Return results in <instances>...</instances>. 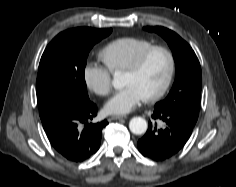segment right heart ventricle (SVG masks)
<instances>
[{
	"label": "right heart ventricle",
	"mask_w": 236,
	"mask_h": 187,
	"mask_svg": "<svg viewBox=\"0 0 236 187\" xmlns=\"http://www.w3.org/2000/svg\"><path fill=\"white\" fill-rule=\"evenodd\" d=\"M151 46L153 43L143 38L122 37L104 46L99 58L109 71H125L141 52Z\"/></svg>",
	"instance_id": "1"
}]
</instances>
